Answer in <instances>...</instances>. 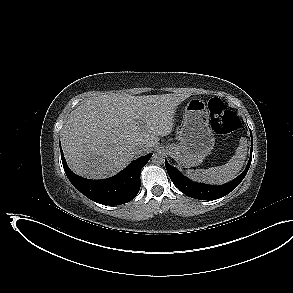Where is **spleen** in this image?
I'll return each instance as SVG.
<instances>
[{
	"instance_id": "3e777b00",
	"label": "spleen",
	"mask_w": 293,
	"mask_h": 293,
	"mask_svg": "<svg viewBox=\"0 0 293 293\" xmlns=\"http://www.w3.org/2000/svg\"><path fill=\"white\" fill-rule=\"evenodd\" d=\"M247 155V139H240L239 147L236 149L235 155L227 164L208 169H188L187 175L199 182L209 184H224L235 178L236 174L241 170Z\"/></svg>"
}]
</instances>
